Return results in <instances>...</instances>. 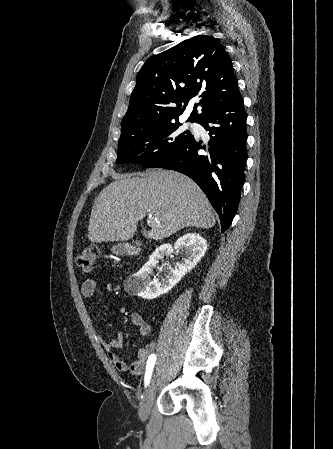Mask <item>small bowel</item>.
<instances>
[{
	"mask_svg": "<svg viewBox=\"0 0 333 449\" xmlns=\"http://www.w3.org/2000/svg\"><path fill=\"white\" fill-rule=\"evenodd\" d=\"M97 290V282L94 279H86L81 286V292L84 297H93ZM131 322L138 328L139 333L142 336H148L152 332L150 324L140 313L131 314ZM101 344L107 352L110 363L120 372H128L133 376H139L142 374L145 365H147L148 358L151 354H154L157 348V341L153 340L147 343L143 348L137 352V359L128 365L121 357L115 352L116 349L121 348L124 342V334L118 332L114 339L104 340L101 339Z\"/></svg>",
	"mask_w": 333,
	"mask_h": 449,
	"instance_id": "obj_1",
	"label": "small bowel"
}]
</instances>
